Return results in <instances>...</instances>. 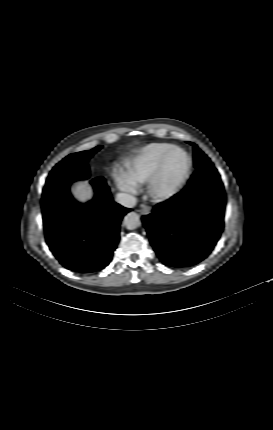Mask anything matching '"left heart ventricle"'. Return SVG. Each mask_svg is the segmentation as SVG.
Returning <instances> with one entry per match:
<instances>
[{"mask_svg":"<svg viewBox=\"0 0 273 430\" xmlns=\"http://www.w3.org/2000/svg\"><path fill=\"white\" fill-rule=\"evenodd\" d=\"M187 162L180 152H173L168 158L162 178L163 186L167 187L174 184L183 174Z\"/></svg>","mask_w":273,"mask_h":430,"instance_id":"left-heart-ventricle-1","label":"left heart ventricle"}]
</instances>
